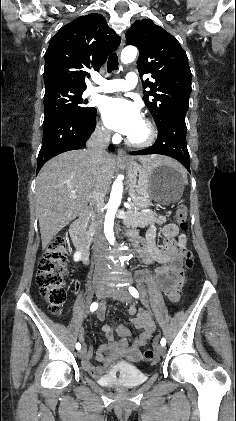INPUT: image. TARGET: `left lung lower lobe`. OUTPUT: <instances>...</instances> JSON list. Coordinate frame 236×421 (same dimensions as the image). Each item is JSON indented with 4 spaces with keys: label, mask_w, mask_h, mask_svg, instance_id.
<instances>
[{
    "label": "left lung lower lobe",
    "mask_w": 236,
    "mask_h": 421,
    "mask_svg": "<svg viewBox=\"0 0 236 421\" xmlns=\"http://www.w3.org/2000/svg\"><path fill=\"white\" fill-rule=\"evenodd\" d=\"M186 112L176 110L164 119L158 128V138L149 148L133 151L131 155L161 154L178 160L190 172V159L186 145ZM191 173V172H190Z\"/></svg>",
    "instance_id": "obj_1"
}]
</instances>
